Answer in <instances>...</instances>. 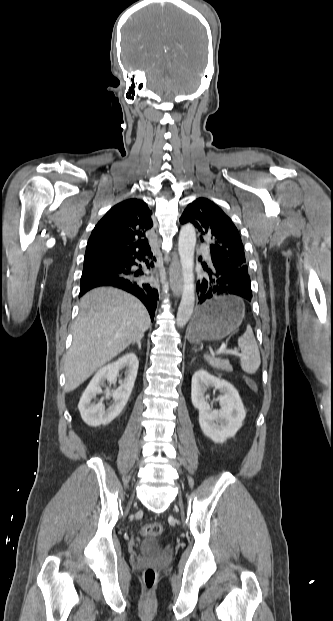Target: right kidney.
I'll use <instances>...</instances> for the list:
<instances>
[{
	"mask_svg": "<svg viewBox=\"0 0 333 621\" xmlns=\"http://www.w3.org/2000/svg\"><path fill=\"white\" fill-rule=\"evenodd\" d=\"M139 360L134 353H127L115 362H112L97 371L83 392L78 409L83 421L89 426L107 425L112 422L125 407L137 376ZM125 369V378L121 380V385L115 391L105 390L106 397L112 396L114 403L107 410L101 402L92 403L91 400L101 390V385L105 380L112 383L117 378L119 371Z\"/></svg>",
	"mask_w": 333,
	"mask_h": 621,
	"instance_id": "obj_1",
	"label": "right kidney"
}]
</instances>
